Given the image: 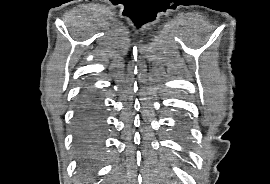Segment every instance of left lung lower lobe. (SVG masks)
I'll list each match as a JSON object with an SVG mask.
<instances>
[{
  "mask_svg": "<svg viewBox=\"0 0 270 184\" xmlns=\"http://www.w3.org/2000/svg\"><path fill=\"white\" fill-rule=\"evenodd\" d=\"M179 132H180V134H181L182 136H185V135H186V131H185L184 129H180Z\"/></svg>",
  "mask_w": 270,
  "mask_h": 184,
  "instance_id": "1",
  "label": "left lung lower lobe"
}]
</instances>
